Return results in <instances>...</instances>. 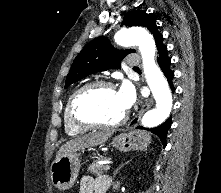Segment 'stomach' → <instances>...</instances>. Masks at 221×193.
I'll list each match as a JSON object with an SVG mask.
<instances>
[{"mask_svg":"<svg viewBox=\"0 0 221 193\" xmlns=\"http://www.w3.org/2000/svg\"><path fill=\"white\" fill-rule=\"evenodd\" d=\"M150 143V134L142 130H131L117 135L112 144L121 152L143 150ZM80 153H69L52 163L50 168L52 184L59 190L73 186L80 170Z\"/></svg>","mask_w":221,"mask_h":193,"instance_id":"stomach-1","label":"stomach"}]
</instances>
